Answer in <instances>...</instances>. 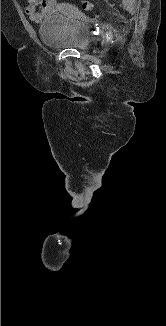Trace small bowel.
Listing matches in <instances>:
<instances>
[{
	"mask_svg": "<svg viewBox=\"0 0 166 326\" xmlns=\"http://www.w3.org/2000/svg\"><path fill=\"white\" fill-rule=\"evenodd\" d=\"M25 12L37 22L59 12H70V8L58 0H27Z\"/></svg>",
	"mask_w": 166,
	"mask_h": 326,
	"instance_id": "c3829d8e",
	"label": "small bowel"
}]
</instances>
